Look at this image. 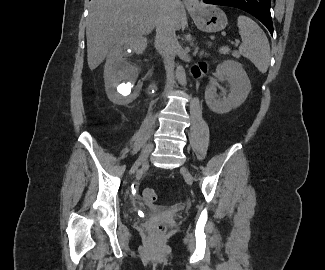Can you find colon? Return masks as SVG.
<instances>
[{"label":"colon","mask_w":325,"mask_h":270,"mask_svg":"<svg viewBox=\"0 0 325 270\" xmlns=\"http://www.w3.org/2000/svg\"><path fill=\"white\" fill-rule=\"evenodd\" d=\"M143 198L147 202H153L156 200V192L152 188H145L143 191ZM155 230L159 233L165 230L164 225L159 224L155 227Z\"/></svg>","instance_id":"colon-1"}]
</instances>
